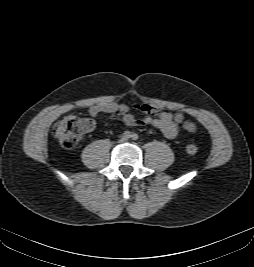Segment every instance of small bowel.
<instances>
[{
  "mask_svg": "<svg viewBox=\"0 0 254 267\" xmlns=\"http://www.w3.org/2000/svg\"><path fill=\"white\" fill-rule=\"evenodd\" d=\"M137 110L144 115L141 120L135 118L128 105L115 102L98 103L92 105L88 111L92 117H96L102 113L118 114L122 121L128 126H135L139 123L153 126L160 130L164 136L169 139L176 138L179 135L181 127L190 133L196 130L195 124L185 120L184 115L181 112L171 113L160 111L156 107L150 105L137 106Z\"/></svg>",
  "mask_w": 254,
  "mask_h": 267,
  "instance_id": "1",
  "label": "small bowel"
}]
</instances>
